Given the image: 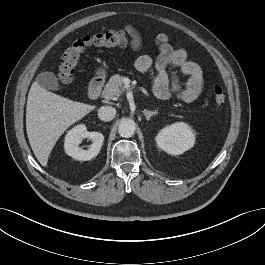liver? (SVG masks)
I'll list each match as a JSON object with an SVG mask.
<instances>
[{"label":"liver","instance_id":"liver-1","mask_svg":"<svg viewBox=\"0 0 265 265\" xmlns=\"http://www.w3.org/2000/svg\"><path fill=\"white\" fill-rule=\"evenodd\" d=\"M94 108L52 93L37 80L33 82L27 99L26 131L32 151L43 167L64 131Z\"/></svg>","mask_w":265,"mask_h":265}]
</instances>
